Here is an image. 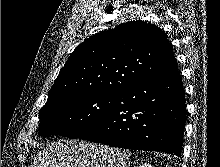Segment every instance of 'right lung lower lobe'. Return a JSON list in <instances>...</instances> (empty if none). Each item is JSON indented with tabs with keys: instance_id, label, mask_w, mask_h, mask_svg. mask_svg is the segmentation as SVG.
I'll use <instances>...</instances> for the list:
<instances>
[{
	"instance_id": "right-lung-lower-lobe-1",
	"label": "right lung lower lobe",
	"mask_w": 220,
	"mask_h": 167,
	"mask_svg": "<svg viewBox=\"0 0 220 167\" xmlns=\"http://www.w3.org/2000/svg\"><path fill=\"white\" fill-rule=\"evenodd\" d=\"M186 114L185 92L177 69L117 93L103 118L78 138L180 156Z\"/></svg>"
}]
</instances>
